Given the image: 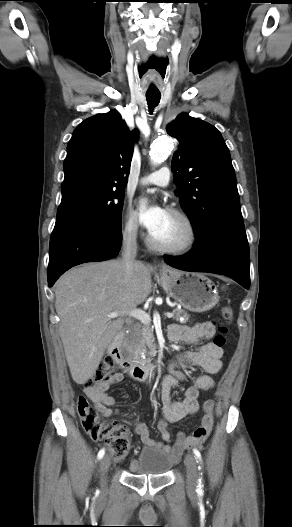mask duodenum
Instances as JSON below:
<instances>
[{
    "mask_svg": "<svg viewBox=\"0 0 292 527\" xmlns=\"http://www.w3.org/2000/svg\"><path fill=\"white\" fill-rule=\"evenodd\" d=\"M123 338V333L120 332L116 335L113 343L111 344L109 351L110 354L117 359L124 368L129 370V373L137 380H145L157 369L155 364L145 363V364H131L126 360L121 352L120 344Z\"/></svg>",
    "mask_w": 292,
    "mask_h": 527,
    "instance_id": "duodenum-1",
    "label": "duodenum"
}]
</instances>
